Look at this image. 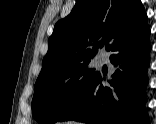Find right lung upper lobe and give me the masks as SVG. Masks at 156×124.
I'll return each mask as SVG.
<instances>
[{
    "label": "right lung upper lobe",
    "mask_w": 156,
    "mask_h": 124,
    "mask_svg": "<svg viewBox=\"0 0 156 124\" xmlns=\"http://www.w3.org/2000/svg\"><path fill=\"white\" fill-rule=\"evenodd\" d=\"M146 26L140 0H77L72 12L56 23L38 78L90 61L99 47L107 49L124 33Z\"/></svg>",
    "instance_id": "obj_1"
}]
</instances>
